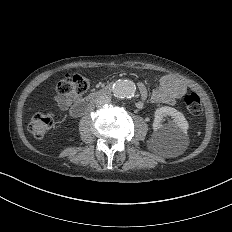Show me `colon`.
I'll list each match as a JSON object with an SVG mask.
<instances>
[{
	"instance_id": "colon-1",
	"label": "colon",
	"mask_w": 232,
	"mask_h": 232,
	"mask_svg": "<svg viewBox=\"0 0 232 232\" xmlns=\"http://www.w3.org/2000/svg\"><path fill=\"white\" fill-rule=\"evenodd\" d=\"M62 78L64 80H59L55 84V89L59 93L84 94L88 89H95V84H89V78L82 77L78 70H73ZM197 101L198 96L194 92H189L183 97L184 111H193L188 113L189 117L199 116L197 107H200V102ZM29 121H32L33 126H28L27 130L32 131L34 137H45L50 130V127L46 125H52L50 112H37V116H29Z\"/></svg>"
}]
</instances>
